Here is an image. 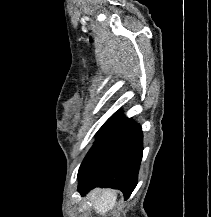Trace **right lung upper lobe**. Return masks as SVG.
Here are the masks:
<instances>
[{"label": "right lung upper lobe", "instance_id": "right-lung-upper-lobe-1", "mask_svg": "<svg viewBox=\"0 0 211 217\" xmlns=\"http://www.w3.org/2000/svg\"><path fill=\"white\" fill-rule=\"evenodd\" d=\"M122 115L121 111L116 112L110 119L116 120Z\"/></svg>", "mask_w": 211, "mask_h": 217}]
</instances>
